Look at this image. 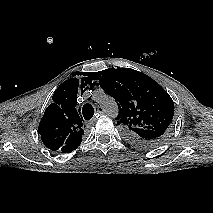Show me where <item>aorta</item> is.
<instances>
[{"instance_id":"aorta-1","label":"aorta","mask_w":213,"mask_h":213,"mask_svg":"<svg viewBox=\"0 0 213 213\" xmlns=\"http://www.w3.org/2000/svg\"><path fill=\"white\" fill-rule=\"evenodd\" d=\"M97 101L108 116L116 117L118 114V107L115 100L104 92H99L97 95Z\"/></svg>"}]
</instances>
